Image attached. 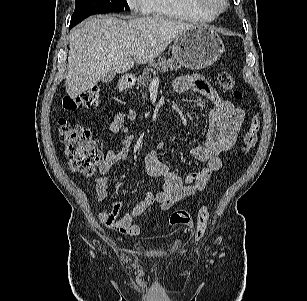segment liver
<instances>
[{"mask_svg":"<svg viewBox=\"0 0 307 301\" xmlns=\"http://www.w3.org/2000/svg\"><path fill=\"white\" fill-rule=\"evenodd\" d=\"M193 27L161 16L122 20L92 18L70 34L66 92L76 98L96 86L103 75L125 73L158 57L183 31ZM131 51H137L134 59Z\"/></svg>","mask_w":307,"mask_h":301,"instance_id":"obj_1","label":"liver"}]
</instances>
